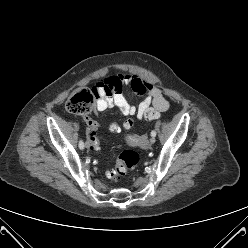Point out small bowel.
I'll return each mask as SVG.
<instances>
[{"label": "small bowel", "mask_w": 248, "mask_h": 248, "mask_svg": "<svg viewBox=\"0 0 248 248\" xmlns=\"http://www.w3.org/2000/svg\"><path fill=\"white\" fill-rule=\"evenodd\" d=\"M124 87H130L134 93L144 95V99L135 106L123 94ZM99 97L95 103L97 112L111 107H117L125 116L136 115L139 119L145 118V113L151 108L164 112L169 108L168 101L163 97L160 88L144 78L131 75H111L96 85ZM88 129L97 130L99 123L89 117L84 118Z\"/></svg>", "instance_id": "1"}]
</instances>
